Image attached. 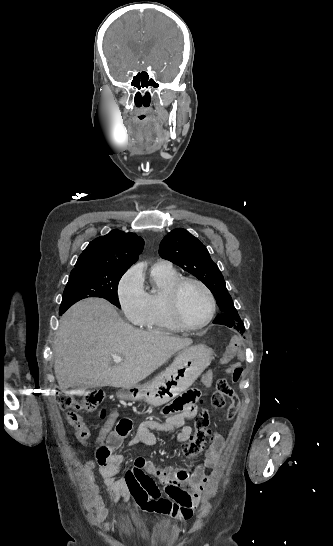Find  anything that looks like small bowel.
<instances>
[{"instance_id":"obj_1","label":"small bowel","mask_w":333,"mask_h":546,"mask_svg":"<svg viewBox=\"0 0 333 546\" xmlns=\"http://www.w3.org/2000/svg\"><path fill=\"white\" fill-rule=\"evenodd\" d=\"M238 341L236 338L231 346L225 347L223 354L219 357L221 365H230L237 359ZM221 365H216V368H221ZM213 375L212 369L207 367L202 377L203 387L209 386L210 377ZM237 408L236 403L230 404L226 410L228 416L234 417L238 411ZM164 413L169 415L164 422L151 419L142 421L129 440V444L142 442L155 445L157 437L153 431L172 432L175 429H180L177 436L180 443L188 441L192 428L187 421L195 415L196 409L192 405L177 408L170 404L165 407ZM228 416L225 418L227 421L230 419ZM117 418L118 412L113 411L94 443L89 441L88 431L83 436L76 434L78 441L84 446H98L105 442L111 447L109 456L104 459L89 460L84 465V472L93 493L97 519L104 525L105 530L112 529V526L104 524L107 510L94 483L93 472L96 467L107 489L110 503H127L132 497L142 510L157 514H172L182 519L183 526H189L207 487L209 477L206 469L216 467L221 460L225 445L223 436L217 432L213 433L211 443L205 451L204 460L194 471L179 466H159L144 458H137L126 471L125 476L117 479L116 476L122 468L123 457L116 451L132 429L131 421L128 419L119 422L128 426L126 433H120L116 427L113 429ZM162 493L167 496L166 499L161 497Z\"/></svg>"}]
</instances>
